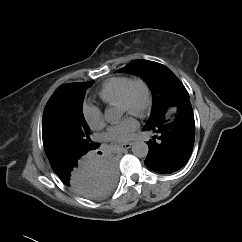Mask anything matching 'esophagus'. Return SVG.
I'll list each match as a JSON object with an SVG mask.
<instances>
[{"label":"esophagus","instance_id":"esophagus-1","mask_svg":"<svg viewBox=\"0 0 242 242\" xmlns=\"http://www.w3.org/2000/svg\"><path fill=\"white\" fill-rule=\"evenodd\" d=\"M131 146H132V143H124V144H122L120 147H121V149H122L123 151H125V150L131 148Z\"/></svg>","mask_w":242,"mask_h":242}]
</instances>
